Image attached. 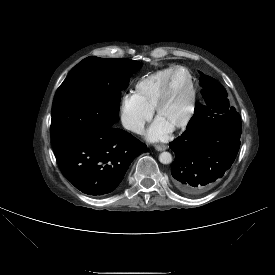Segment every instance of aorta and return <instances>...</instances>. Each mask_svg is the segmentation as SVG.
Here are the masks:
<instances>
[{
	"label": "aorta",
	"instance_id": "762f6f07",
	"mask_svg": "<svg viewBox=\"0 0 275 275\" xmlns=\"http://www.w3.org/2000/svg\"><path fill=\"white\" fill-rule=\"evenodd\" d=\"M159 161L162 164H170L172 162V155L169 152H162L159 155Z\"/></svg>",
	"mask_w": 275,
	"mask_h": 275
}]
</instances>
